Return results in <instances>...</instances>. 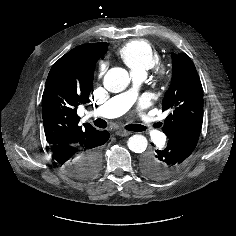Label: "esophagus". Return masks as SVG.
Wrapping results in <instances>:
<instances>
[{
    "label": "esophagus",
    "mask_w": 236,
    "mask_h": 236,
    "mask_svg": "<svg viewBox=\"0 0 236 236\" xmlns=\"http://www.w3.org/2000/svg\"><path fill=\"white\" fill-rule=\"evenodd\" d=\"M116 134L121 137H126V136H129L131 132L126 131V130H118L116 131Z\"/></svg>",
    "instance_id": "obj_1"
}]
</instances>
